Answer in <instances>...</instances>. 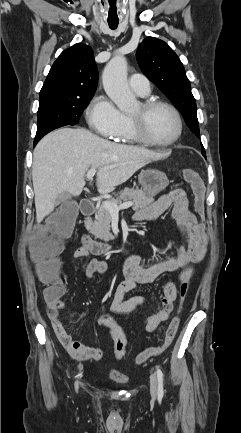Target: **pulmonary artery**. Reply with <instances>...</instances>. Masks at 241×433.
I'll return each mask as SVG.
<instances>
[{
    "label": "pulmonary artery",
    "instance_id": "1",
    "mask_svg": "<svg viewBox=\"0 0 241 433\" xmlns=\"http://www.w3.org/2000/svg\"><path fill=\"white\" fill-rule=\"evenodd\" d=\"M131 89L139 96H147L150 93L149 80L142 74H133L129 78Z\"/></svg>",
    "mask_w": 241,
    "mask_h": 433
}]
</instances>
